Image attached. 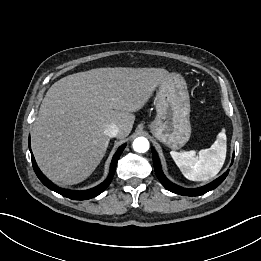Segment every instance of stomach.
Segmentation results:
<instances>
[{
  "label": "stomach",
  "instance_id": "stomach-1",
  "mask_svg": "<svg viewBox=\"0 0 261 261\" xmlns=\"http://www.w3.org/2000/svg\"><path fill=\"white\" fill-rule=\"evenodd\" d=\"M156 112L149 125L152 134L173 150L183 147L191 135L190 101L186 82L179 74H171L159 85Z\"/></svg>",
  "mask_w": 261,
  "mask_h": 261
}]
</instances>
